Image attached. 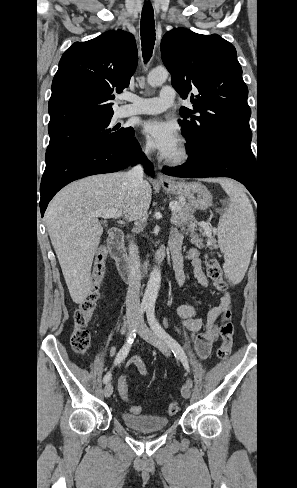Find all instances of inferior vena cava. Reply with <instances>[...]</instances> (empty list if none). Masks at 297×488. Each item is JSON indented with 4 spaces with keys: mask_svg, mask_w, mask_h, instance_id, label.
Wrapping results in <instances>:
<instances>
[{
    "mask_svg": "<svg viewBox=\"0 0 297 488\" xmlns=\"http://www.w3.org/2000/svg\"><path fill=\"white\" fill-rule=\"evenodd\" d=\"M149 148L146 147L145 153L148 154ZM144 171L141 165L133 167L127 172V181L132 188H137L143 183ZM129 286L126 295V316L139 317L140 314V288L141 272L138 246L134 241L129 243Z\"/></svg>",
    "mask_w": 297,
    "mask_h": 488,
    "instance_id": "602c4592",
    "label": "inferior vena cava"
}]
</instances>
